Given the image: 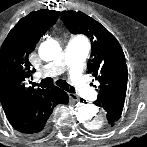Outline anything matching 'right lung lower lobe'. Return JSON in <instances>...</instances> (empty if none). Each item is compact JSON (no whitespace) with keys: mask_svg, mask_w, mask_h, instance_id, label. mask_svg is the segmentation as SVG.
I'll list each match as a JSON object with an SVG mask.
<instances>
[{"mask_svg":"<svg viewBox=\"0 0 147 147\" xmlns=\"http://www.w3.org/2000/svg\"><path fill=\"white\" fill-rule=\"evenodd\" d=\"M68 96L62 89L53 86L44 90L30 105L20 113L8 118L12 127L25 134H40L57 104H66Z\"/></svg>","mask_w":147,"mask_h":147,"instance_id":"1","label":"right lung lower lobe"}]
</instances>
